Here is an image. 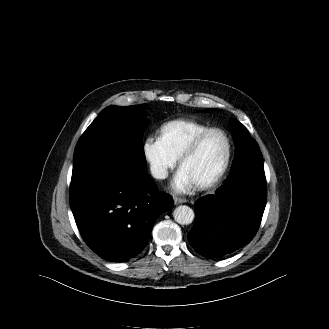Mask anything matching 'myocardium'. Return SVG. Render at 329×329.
<instances>
[{
	"mask_svg": "<svg viewBox=\"0 0 329 329\" xmlns=\"http://www.w3.org/2000/svg\"><path fill=\"white\" fill-rule=\"evenodd\" d=\"M212 133H220L224 136L225 140H226V154H225V158L223 160V163L221 165V167L219 168V170L216 172V174L211 177L210 179L197 184V187L199 189H207L210 188L214 185H216L225 175V173L227 172L231 159H232V154H233V145H232V141L230 136L227 134L226 131H224L223 129L220 128H209L203 132H201L200 134H198L190 143L189 145L184 149V151L181 153L179 159H178V163H179V167L181 168V166L183 165V163L189 159L190 157H192L196 151L198 150L201 142L203 141L204 138H206L208 135L212 134Z\"/></svg>",
	"mask_w": 329,
	"mask_h": 329,
	"instance_id": "1",
	"label": "myocardium"
}]
</instances>
